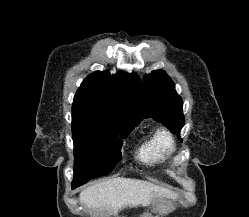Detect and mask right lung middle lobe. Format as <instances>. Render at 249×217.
<instances>
[{
  "label": "right lung middle lobe",
  "instance_id": "right-lung-middle-lobe-1",
  "mask_svg": "<svg viewBox=\"0 0 249 217\" xmlns=\"http://www.w3.org/2000/svg\"><path fill=\"white\" fill-rule=\"evenodd\" d=\"M135 126L89 106L72 107L74 179L105 176L121 160L123 139Z\"/></svg>",
  "mask_w": 249,
  "mask_h": 217
}]
</instances>
